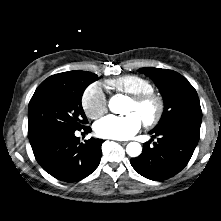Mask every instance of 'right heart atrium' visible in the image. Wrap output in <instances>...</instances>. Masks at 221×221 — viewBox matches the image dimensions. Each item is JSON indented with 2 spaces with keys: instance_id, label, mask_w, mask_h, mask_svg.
Listing matches in <instances>:
<instances>
[{
  "instance_id": "1",
  "label": "right heart atrium",
  "mask_w": 221,
  "mask_h": 221,
  "mask_svg": "<svg viewBox=\"0 0 221 221\" xmlns=\"http://www.w3.org/2000/svg\"><path fill=\"white\" fill-rule=\"evenodd\" d=\"M81 106L87 117L97 119L107 110L105 93L98 83L88 85L81 96Z\"/></svg>"
}]
</instances>
